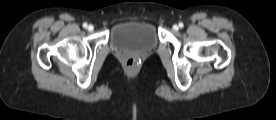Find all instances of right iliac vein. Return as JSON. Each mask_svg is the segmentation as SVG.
<instances>
[{"label": "right iliac vein", "instance_id": "obj_1", "mask_svg": "<svg viewBox=\"0 0 276 120\" xmlns=\"http://www.w3.org/2000/svg\"><path fill=\"white\" fill-rule=\"evenodd\" d=\"M94 30V26L93 25H89L88 26V31L92 32Z\"/></svg>", "mask_w": 276, "mask_h": 120}]
</instances>
